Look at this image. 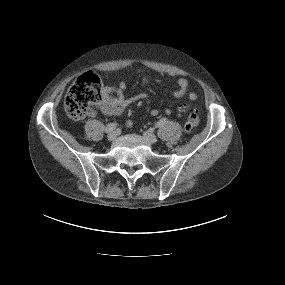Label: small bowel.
Masks as SVG:
<instances>
[{
  "instance_id": "obj_1",
  "label": "small bowel",
  "mask_w": 285,
  "mask_h": 285,
  "mask_svg": "<svg viewBox=\"0 0 285 285\" xmlns=\"http://www.w3.org/2000/svg\"><path fill=\"white\" fill-rule=\"evenodd\" d=\"M142 82L145 85L149 84V77H143ZM126 88L127 83L125 80H121L116 86L104 87L102 91V99L96 105L97 110L101 111L105 115L118 116L123 114L133 103L146 100L149 97L146 93L126 97L124 94ZM174 96L176 98H183V101L177 106V111L179 113L186 112L197 100V94L195 92H188V81L185 78H179L177 80ZM164 112L166 115H171L172 110L170 108H165ZM150 114L152 116H157L159 111L153 109ZM127 126L132 127L133 122L128 120Z\"/></svg>"
}]
</instances>
